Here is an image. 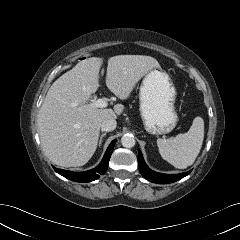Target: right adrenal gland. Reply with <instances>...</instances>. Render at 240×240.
Segmentation results:
<instances>
[{
  "label": "right adrenal gland",
  "instance_id": "1",
  "mask_svg": "<svg viewBox=\"0 0 240 240\" xmlns=\"http://www.w3.org/2000/svg\"><path fill=\"white\" fill-rule=\"evenodd\" d=\"M106 135V133H103L101 136H100V140H99V147L101 146L102 144V139L103 137Z\"/></svg>",
  "mask_w": 240,
  "mask_h": 240
}]
</instances>
